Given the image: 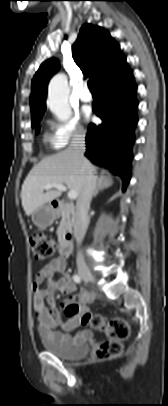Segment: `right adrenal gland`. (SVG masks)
Masks as SVG:
<instances>
[{
	"instance_id": "obj_1",
	"label": "right adrenal gland",
	"mask_w": 168,
	"mask_h": 406,
	"mask_svg": "<svg viewBox=\"0 0 168 406\" xmlns=\"http://www.w3.org/2000/svg\"><path fill=\"white\" fill-rule=\"evenodd\" d=\"M110 186H112L111 179L106 178L105 176H102V175L97 177V186H96L95 192L93 194V198H95L97 196L99 191L106 189Z\"/></svg>"
}]
</instances>
